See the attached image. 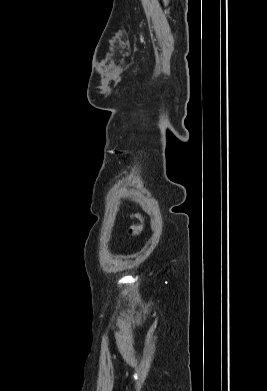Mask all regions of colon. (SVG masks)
Listing matches in <instances>:
<instances>
[{
	"label": "colon",
	"mask_w": 267,
	"mask_h": 391,
	"mask_svg": "<svg viewBox=\"0 0 267 391\" xmlns=\"http://www.w3.org/2000/svg\"><path fill=\"white\" fill-rule=\"evenodd\" d=\"M135 218L139 220V223L133 224L129 228L130 235H138L144 228L145 225V216L142 214H135Z\"/></svg>",
	"instance_id": "colon-1"
}]
</instances>
